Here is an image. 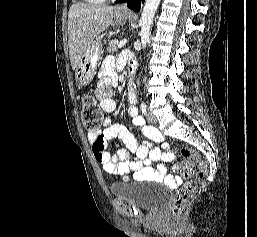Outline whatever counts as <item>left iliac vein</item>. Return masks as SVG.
Instances as JSON below:
<instances>
[{
    "instance_id": "4c4485c4",
    "label": "left iliac vein",
    "mask_w": 257,
    "mask_h": 237,
    "mask_svg": "<svg viewBox=\"0 0 257 237\" xmlns=\"http://www.w3.org/2000/svg\"><path fill=\"white\" fill-rule=\"evenodd\" d=\"M147 119L150 123H153V124L157 122L156 117L153 115L151 111L148 112Z\"/></svg>"
}]
</instances>
